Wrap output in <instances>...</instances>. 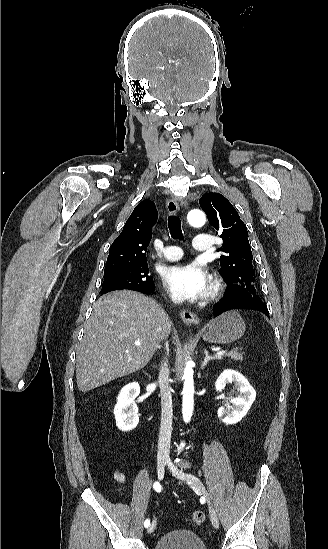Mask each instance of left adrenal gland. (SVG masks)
Masks as SVG:
<instances>
[{
    "label": "left adrenal gland",
    "mask_w": 328,
    "mask_h": 549,
    "mask_svg": "<svg viewBox=\"0 0 328 549\" xmlns=\"http://www.w3.org/2000/svg\"><path fill=\"white\" fill-rule=\"evenodd\" d=\"M204 353H205V359L201 365V369H204V367H206L207 363H209V361H211V359H216V357H209V353L207 351V349H204Z\"/></svg>",
    "instance_id": "obj_1"
}]
</instances>
